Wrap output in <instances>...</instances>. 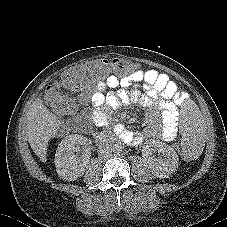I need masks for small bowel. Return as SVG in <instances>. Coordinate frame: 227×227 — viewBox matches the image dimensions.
<instances>
[{"label":"small bowel","mask_w":227,"mask_h":227,"mask_svg":"<svg viewBox=\"0 0 227 227\" xmlns=\"http://www.w3.org/2000/svg\"><path fill=\"white\" fill-rule=\"evenodd\" d=\"M119 89L118 94L110 93ZM79 99L89 101L93 106L92 120L96 126L109 123L112 110L123 103L138 104L151 112L148 126L144 133L131 131L122 124L114 127V134L121 141L139 145L148 138H160L171 142L177 135L178 105L185 96L177 84L168 75L155 69H139L134 75H109L99 80L91 92L84 90Z\"/></svg>","instance_id":"small-bowel-1"}]
</instances>
